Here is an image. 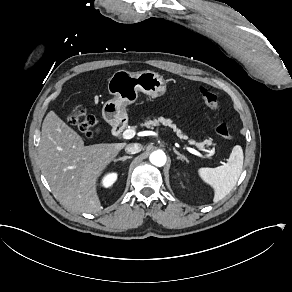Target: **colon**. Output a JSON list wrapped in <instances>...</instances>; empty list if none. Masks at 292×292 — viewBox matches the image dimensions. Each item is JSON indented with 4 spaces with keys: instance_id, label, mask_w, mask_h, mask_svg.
I'll use <instances>...</instances> for the list:
<instances>
[{
    "instance_id": "1",
    "label": "colon",
    "mask_w": 292,
    "mask_h": 292,
    "mask_svg": "<svg viewBox=\"0 0 292 292\" xmlns=\"http://www.w3.org/2000/svg\"><path fill=\"white\" fill-rule=\"evenodd\" d=\"M199 96L203 101L204 105L211 110H217L219 107V99L216 93L206 87H199ZM70 123L78 126L81 130L85 132L86 140H94L95 132L98 127V122L95 116L82 110L78 107L71 109L69 113ZM217 133L225 140H230L232 138V129L228 122H221L216 127Z\"/></svg>"
}]
</instances>
